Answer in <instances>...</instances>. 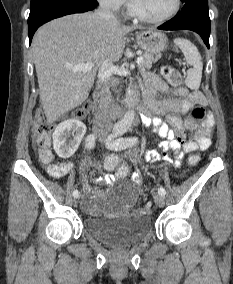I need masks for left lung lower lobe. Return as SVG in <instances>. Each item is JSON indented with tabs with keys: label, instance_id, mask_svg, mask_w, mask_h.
I'll return each mask as SVG.
<instances>
[{
	"label": "left lung lower lobe",
	"instance_id": "1",
	"mask_svg": "<svg viewBox=\"0 0 233 284\" xmlns=\"http://www.w3.org/2000/svg\"><path fill=\"white\" fill-rule=\"evenodd\" d=\"M161 30H192L197 32L209 48L210 18L208 0H189L181 12L159 26Z\"/></svg>",
	"mask_w": 233,
	"mask_h": 284
}]
</instances>
